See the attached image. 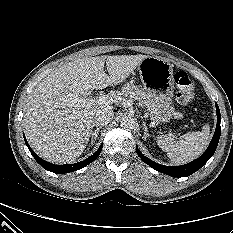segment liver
Instances as JSON below:
<instances>
[{
    "instance_id": "6515ba94",
    "label": "liver",
    "mask_w": 233,
    "mask_h": 233,
    "mask_svg": "<svg viewBox=\"0 0 233 233\" xmlns=\"http://www.w3.org/2000/svg\"><path fill=\"white\" fill-rule=\"evenodd\" d=\"M146 55L97 56L69 62L52 71L29 95L23 126L31 147L42 158L71 162L81 155L92 132V120L111 105L82 104L93 89L117 85ZM106 63L109 75L104 72Z\"/></svg>"
}]
</instances>
